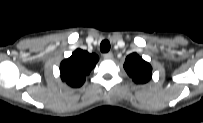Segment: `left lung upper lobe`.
<instances>
[{"instance_id":"1","label":"left lung upper lobe","mask_w":203,"mask_h":123,"mask_svg":"<svg viewBox=\"0 0 203 123\" xmlns=\"http://www.w3.org/2000/svg\"><path fill=\"white\" fill-rule=\"evenodd\" d=\"M124 68L136 83H146L151 79V65L144 61L137 53L127 56Z\"/></svg>"}]
</instances>
